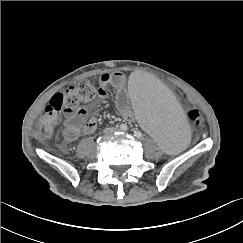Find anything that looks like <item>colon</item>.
I'll return each instance as SVG.
<instances>
[{"label": "colon", "mask_w": 243, "mask_h": 243, "mask_svg": "<svg viewBox=\"0 0 243 243\" xmlns=\"http://www.w3.org/2000/svg\"><path fill=\"white\" fill-rule=\"evenodd\" d=\"M98 89L99 87L88 81H81L63 92L56 93L43 110L41 121L36 128L37 136L41 139L49 138L59 114L77 110L81 104L95 100L98 98ZM187 116L196 125L203 123L202 114L195 107L187 109Z\"/></svg>", "instance_id": "5ec220e1"}]
</instances>
